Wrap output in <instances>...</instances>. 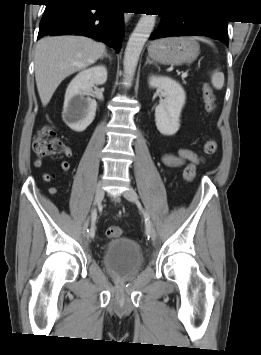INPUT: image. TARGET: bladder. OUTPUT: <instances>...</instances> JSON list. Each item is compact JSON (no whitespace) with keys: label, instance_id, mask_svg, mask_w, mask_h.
I'll return each mask as SVG.
<instances>
[{"label":"bladder","instance_id":"bladder-1","mask_svg":"<svg viewBox=\"0 0 261 355\" xmlns=\"http://www.w3.org/2000/svg\"><path fill=\"white\" fill-rule=\"evenodd\" d=\"M102 261L106 269L115 276L131 280L138 274L143 264V254L134 240L118 237L105 245Z\"/></svg>","mask_w":261,"mask_h":355}]
</instances>
